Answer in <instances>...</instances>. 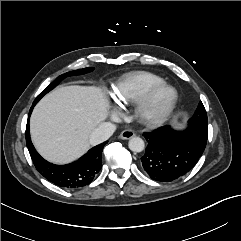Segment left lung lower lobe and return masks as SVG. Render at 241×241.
<instances>
[{
  "label": "left lung lower lobe",
  "instance_id": "obj_1",
  "mask_svg": "<svg viewBox=\"0 0 241 241\" xmlns=\"http://www.w3.org/2000/svg\"><path fill=\"white\" fill-rule=\"evenodd\" d=\"M144 136L148 145L141 158L142 167L151 179L160 182H171L187 174L207 143V137L192 126L182 131L164 126Z\"/></svg>",
  "mask_w": 241,
  "mask_h": 241
}]
</instances>
